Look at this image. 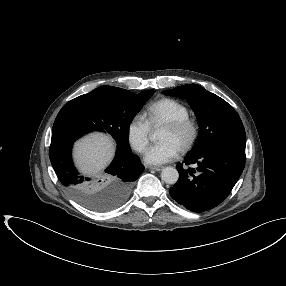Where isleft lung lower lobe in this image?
Listing matches in <instances>:
<instances>
[{
    "label": "left lung lower lobe",
    "instance_id": "0a47b994",
    "mask_svg": "<svg viewBox=\"0 0 286 286\" xmlns=\"http://www.w3.org/2000/svg\"><path fill=\"white\" fill-rule=\"evenodd\" d=\"M245 160V149L227 145L188 154L176 166L179 180L169 193L188 210L198 213L210 210L229 195L242 174ZM183 164H195L196 168Z\"/></svg>",
    "mask_w": 286,
    "mask_h": 286
}]
</instances>
